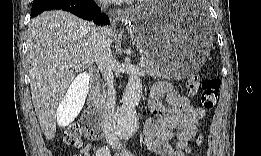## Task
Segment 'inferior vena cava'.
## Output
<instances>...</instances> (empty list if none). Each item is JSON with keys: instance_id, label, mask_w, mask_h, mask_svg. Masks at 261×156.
Returning <instances> with one entry per match:
<instances>
[{"instance_id": "obj_1", "label": "inferior vena cava", "mask_w": 261, "mask_h": 156, "mask_svg": "<svg viewBox=\"0 0 261 156\" xmlns=\"http://www.w3.org/2000/svg\"><path fill=\"white\" fill-rule=\"evenodd\" d=\"M92 45L95 62L100 69L107 86V98L104 106L103 131L108 144L117 145L119 138L113 128V116L116 107L114 77L112 73V54L107 38V28L95 27L92 31Z\"/></svg>"}]
</instances>
